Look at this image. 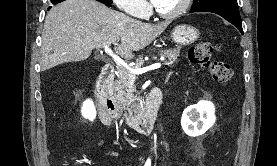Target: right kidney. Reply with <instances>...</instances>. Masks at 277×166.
<instances>
[{
  "label": "right kidney",
  "instance_id": "obj_1",
  "mask_svg": "<svg viewBox=\"0 0 277 166\" xmlns=\"http://www.w3.org/2000/svg\"><path fill=\"white\" fill-rule=\"evenodd\" d=\"M81 113L84 118L89 119L90 121H93L95 119L96 110L91 100H86L84 102Z\"/></svg>",
  "mask_w": 277,
  "mask_h": 166
}]
</instances>
